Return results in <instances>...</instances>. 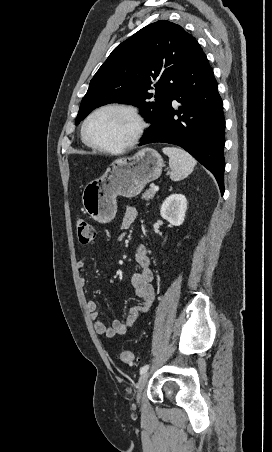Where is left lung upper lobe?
<instances>
[{"label": "left lung upper lobe", "instance_id": "obj_1", "mask_svg": "<svg viewBox=\"0 0 272 452\" xmlns=\"http://www.w3.org/2000/svg\"><path fill=\"white\" fill-rule=\"evenodd\" d=\"M197 44L172 22L161 20L142 28L118 45L96 72L75 123L99 106L124 103L139 106L153 124L165 111L174 82Z\"/></svg>", "mask_w": 272, "mask_h": 452}]
</instances>
